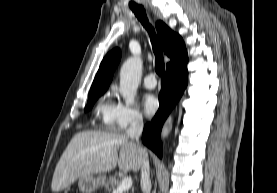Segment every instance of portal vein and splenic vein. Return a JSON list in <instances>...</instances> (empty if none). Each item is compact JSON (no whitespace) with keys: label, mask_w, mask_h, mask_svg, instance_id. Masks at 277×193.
<instances>
[{"label":"portal vein and splenic vein","mask_w":277,"mask_h":193,"mask_svg":"<svg viewBox=\"0 0 277 193\" xmlns=\"http://www.w3.org/2000/svg\"><path fill=\"white\" fill-rule=\"evenodd\" d=\"M104 156V155H103ZM132 186V178L131 177H124L120 182V185L113 193H122L125 190L130 189Z\"/></svg>","instance_id":"portal-vein-and-splenic-vein-1"}]
</instances>
